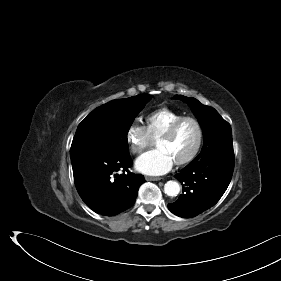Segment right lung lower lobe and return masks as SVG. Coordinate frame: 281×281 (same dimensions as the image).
<instances>
[{
	"label": "right lung lower lobe",
	"mask_w": 281,
	"mask_h": 281,
	"mask_svg": "<svg viewBox=\"0 0 281 281\" xmlns=\"http://www.w3.org/2000/svg\"><path fill=\"white\" fill-rule=\"evenodd\" d=\"M131 164L129 154L117 158L86 157L72 162L75 186L82 200L94 212L105 216L130 208L145 182L143 175L128 170ZM119 170L124 173L118 175Z\"/></svg>",
	"instance_id": "obj_1"
}]
</instances>
